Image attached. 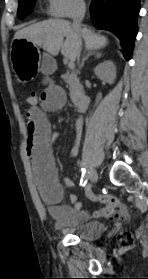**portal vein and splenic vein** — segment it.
Listing matches in <instances>:
<instances>
[{"mask_svg":"<svg viewBox=\"0 0 148 279\" xmlns=\"http://www.w3.org/2000/svg\"><path fill=\"white\" fill-rule=\"evenodd\" d=\"M68 67H69L70 69H74V67H75L74 61L70 60V61L68 62Z\"/></svg>","mask_w":148,"mask_h":279,"instance_id":"18ae733b","label":"portal vein and splenic vein"}]
</instances>
